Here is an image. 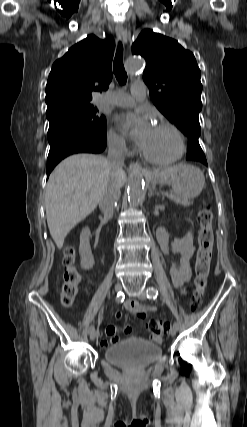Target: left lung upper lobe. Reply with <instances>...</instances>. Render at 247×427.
<instances>
[{
    "label": "left lung upper lobe",
    "instance_id": "obj_1",
    "mask_svg": "<svg viewBox=\"0 0 247 427\" xmlns=\"http://www.w3.org/2000/svg\"><path fill=\"white\" fill-rule=\"evenodd\" d=\"M132 53L146 60L143 80L155 106L188 138L198 140L202 84L194 55L176 40L149 29L139 34Z\"/></svg>",
    "mask_w": 247,
    "mask_h": 427
}]
</instances>
